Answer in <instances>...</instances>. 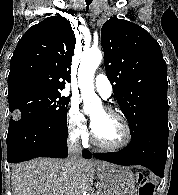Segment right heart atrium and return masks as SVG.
<instances>
[{"label": "right heart atrium", "mask_w": 178, "mask_h": 195, "mask_svg": "<svg viewBox=\"0 0 178 195\" xmlns=\"http://www.w3.org/2000/svg\"><path fill=\"white\" fill-rule=\"evenodd\" d=\"M67 127L69 136L79 142H86L89 138V131L87 129L84 115L79 109L76 101H72L68 107Z\"/></svg>", "instance_id": "d8ad5b80"}]
</instances>
